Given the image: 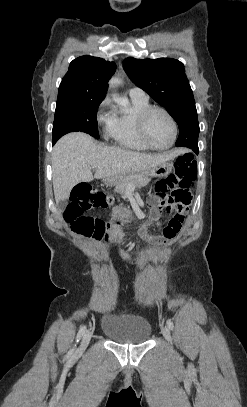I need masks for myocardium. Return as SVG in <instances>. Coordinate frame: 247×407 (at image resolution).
Wrapping results in <instances>:
<instances>
[{
  "label": "myocardium",
  "instance_id": "f54148a6",
  "mask_svg": "<svg viewBox=\"0 0 247 407\" xmlns=\"http://www.w3.org/2000/svg\"><path fill=\"white\" fill-rule=\"evenodd\" d=\"M153 112H161L163 114H165L169 120L172 123L173 126V137L170 141V143L165 146V147H157L154 144H152V142L149 140L148 136H147V132H146V124H147V120L150 117V115ZM137 131H138V135L140 137V139L142 140V142L149 147L152 150H156V151H165L170 149L178 136V124L176 119L174 118V116L165 108L163 107H159V106H150L148 108H146L145 110H143L137 117Z\"/></svg>",
  "mask_w": 247,
  "mask_h": 407
}]
</instances>
